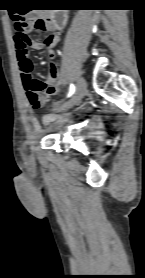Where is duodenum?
Wrapping results in <instances>:
<instances>
[{"label": "duodenum", "mask_w": 145, "mask_h": 278, "mask_svg": "<svg viewBox=\"0 0 145 278\" xmlns=\"http://www.w3.org/2000/svg\"><path fill=\"white\" fill-rule=\"evenodd\" d=\"M68 23V14L66 11H55L49 16V26L53 29H63Z\"/></svg>", "instance_id": "1"}]
</instances>
